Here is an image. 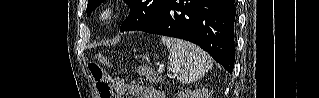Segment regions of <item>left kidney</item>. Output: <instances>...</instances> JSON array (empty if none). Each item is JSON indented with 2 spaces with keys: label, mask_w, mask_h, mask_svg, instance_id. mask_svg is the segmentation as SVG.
<instances>
[{
  "label": "left kidney",
  "mask_w": 319,
  "mask_h": 98,
  "mask_svg": "<svg viewBox=\"0 0 319 98\" xmlns=\"http://www.w3.org/2000/svg\"><path fill=\"white\" fill-rule=\"evenodd\" d=\"M177 98H211V94L207 88H199L195 90H185L180 92Z\"/></svg>",
  "instance_id": "1"
}]
</instances>
